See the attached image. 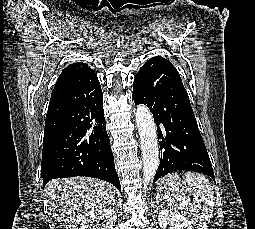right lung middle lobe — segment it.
Returning <instances> with one entry per match:
<instances>
[{"mask_svg": "<svg viewBox=\"0 0 255 229\" xmlns=\"http://www.w3.org/2000/svg\"><path fill=\"white\" fill-rule=\"evenodd\" d=\"M58 131L56 129L46 130L44 133L42 160L48 155L50 148L56 140Z\"/></svg>", "mask_w": 255, "mask_h": 229, "instance_id": "right-lung-middle-lobe-1", "label": "right lung middle lobe"}]
</instances>
